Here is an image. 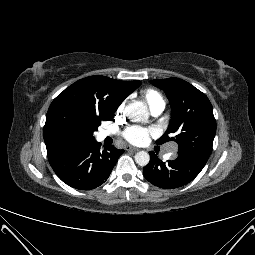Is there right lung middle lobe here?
I'll use <instances>...</instances> for the list:
<instances>
[{"mask_svg":"<svg viewBox=\"0 0 255 255\" xmlns=\"http://www.w3.org/2000/svg\"><path fill=\"white\" fill-rule=\"evenodd\" d=\"M114 115L108 116V117H101V116H94L91 118L86 127V140L87 141H93L95 138L93 137V132L97 130L98 126L101 124V121H106V120H112Z\"/></svg>","mask_w":255,"mask_h":255,"instance_id":"dd1d6c3e","label":"right lung middle lobe"}]
</instances>
